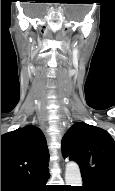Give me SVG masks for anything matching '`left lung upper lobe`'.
<instances>
[{
  "label": "left lung upper lobe",
  "instance_id": "5c2ea615",
  "mask_svg": "<svg viewBox=\"0 0 115 191\" xmlns=\"http://www.w3.org/2000/svg\"><path fill=\"white\" fill-rule=\"evenodd\" d=\"M62 151L79 164L83 183L115 191V141L106 130L77 122L64 135Z\"/></svg>",
  "mask_w": 115,
  "mask_h": 191
}]
</instances>
